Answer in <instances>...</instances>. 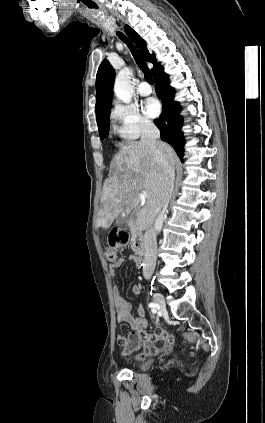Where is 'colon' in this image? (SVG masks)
I'll return each mask as SVG.
<instances>
[{
	"mask_svg": "<svg viewBox=\"0 0 265 423\" xmlns=\"http://www.w3.org/2000/svg\"><path fill=\"white\" fill-rule=\"evenodd\" d=\"M130 236L123 229H113L108 237V247L105 250L108 261H115L117 258V249L128 245Z\"/></svg>",
	"mask_w": 265,
	"mask_h": 423,
	"instance_id": "obj_1",
	"label": "colon"
}]
</instances>
